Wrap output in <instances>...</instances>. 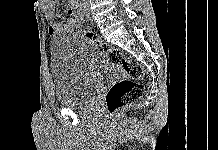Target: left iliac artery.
I'll list each match as a JSON object with an SVG mask.
<instances>
[{
	"instance_id": "obj_1",
	"label": "left iliac artery",
	"mask_w": 218,
	"mask_h": 150,
	"mask_svg": "<svg viewBox=\"0 0 218 150\" xmlns=\"http://www.w3.org/2000/svg\"><path fill=\"white\" fill-rule=\"evenodd\" d=\"M83 13V5H80V8L78 10V15L81 17Z\"/></svg>"
}]
</instances>
